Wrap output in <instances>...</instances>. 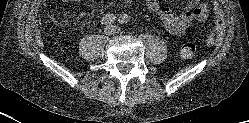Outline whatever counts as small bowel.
I'll list each match as a JSON object with an SVG mask.
<instances>
[{
	"mask_svg": "<svg viewBox=\"0 0 249 123\" xmlns=\"http://www.w3.org/2000/svg\"><path fill=\"white\" fill-rule=\"evenodd\" d=\"M75 2L79 0H60ZM138 0H123L125 4ZM147 8L158 15L165 29L174 36H182L193 22L203 21L208 16V4L203 0H191L179 14L162 6L157 0H142Z\"/></svg>",
	"mask_w": 249,
	"mask_h": 123,
	"instance_id": "c3829d8e",
	"label": "small bowel"
}]
</instances>
